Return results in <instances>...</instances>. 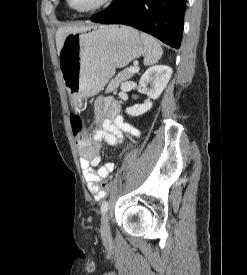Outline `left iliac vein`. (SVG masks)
Segmentation results:
<instances>
[{
    "label": "left iliac vein",
    "mask_w": 247,
    "mask_h": 275,
    "mask_svg": "<svg viewBox=\"0 0 247 275\" xmlns=\"http://www.w3.org/2000/svg\"><path fill=\"white\" fill-rule=\"evenodd\" d=\"M101 235L103 239H109L111 236L109 217L104 215L101 221Z\"/></svg>",
    "instance_id": "1"
}]
</instances>
